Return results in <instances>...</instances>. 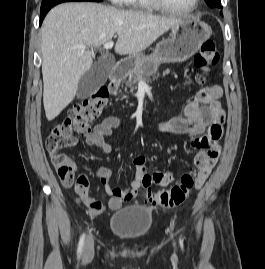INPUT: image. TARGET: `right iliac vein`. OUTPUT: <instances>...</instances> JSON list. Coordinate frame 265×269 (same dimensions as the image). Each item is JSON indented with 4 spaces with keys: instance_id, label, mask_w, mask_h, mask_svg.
I'll return each instance as SVG.
<instances>
[{
    "instance_id": "obj_1",
    "label": "right iliac vein",
    "mask_w": 265,
    "mask_h": 269,
    "mask_svg": "<svg viewBox=\"0 0 265 269\" xmlns=\"http://www.w3.org/2000/svg\"><path fill=\"white\" fill-rule=\"evenodd\" d=\"M94 254V241L91 236L86 239L84 250H83V260L87 261L93 257Z\"/></svg>"
}]
</instances>
